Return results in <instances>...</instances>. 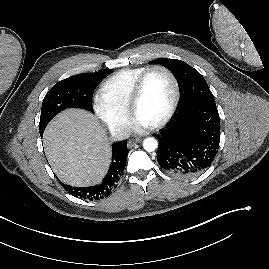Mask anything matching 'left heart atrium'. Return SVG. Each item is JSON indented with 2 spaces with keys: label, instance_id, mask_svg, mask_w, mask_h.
Returning a JSON list of instances; mask_svg holds the SVG:
<instances>
[{
  "label": "left heart atrium",
  "instance_id": "1",
  "mask_svg": "<svg viewBox=\"0 0 269 269\" xmlns=\"http://www.w3.org/2000/svg\"><path fill=\"white\" fill-rule=\"evenodd\" d=\"M136 127H137L138 129H145V128H147L148 126H147L146 124L140 122L139 120H136Z\"/></svg>",
  "mask_w": 269,
  "mask_h": 269
}]
</instances>
